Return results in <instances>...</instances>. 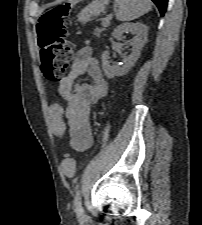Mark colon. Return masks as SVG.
Wrapping results in <instances>:
<instances>
[{
	"label": "colon",
	"instance_id": "5ec220e1",
	"mask_svg": "<svg viewBox=\"0 0 202 225\" xmlns=\"http://www.w3.org/2000/svg\"><path fill=\"white\" fill-rule=\"evenodd\" d=\"M70 7L60 5L42 13L37 20L36 33L41 51V71L51 84L58 85L71 61L73 44L68 39ZM75 161L66 154L61 161L60 171L65 177L74 173Z\"/></svg>",
	"mask_w": 202,
	"mask_h": 225
}]
</instances>
